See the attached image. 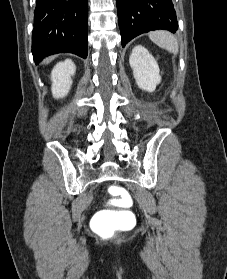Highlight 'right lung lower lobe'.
Returning <instances> with one entry per match:
<instances>
[{"label": "right lung lower lobe", "instance_id": "right-lung-lower-lobe-1", "mask_svg": "<svg viewBox=\"0 0 227 279\" xmlns=\"http://www.w3.org/2000/svg\"><path fill=\"white\" fill-rule=\"evenodd\" d=\"M32 54L43 58L63 52L87 57L88 0H36Z\"/></svg>", "mask_w": 227, "mask_h": 279}]
</instances>
